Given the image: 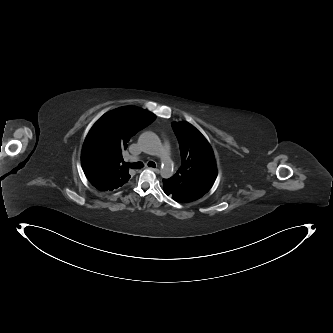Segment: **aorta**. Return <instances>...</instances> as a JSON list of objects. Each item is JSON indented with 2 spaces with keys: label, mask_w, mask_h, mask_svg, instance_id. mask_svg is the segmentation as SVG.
I'll list each match as a JSON object with an SVG mask.
<instances>
[{
  "label": "aorta",
  "mask_w": 333,
  "mask_h": 333,
  "mask_svg": "<svg viewBox=\"0 0 333 333\" xmlns=\"http://www.w3.org/2000/svg\"><path fill=\"white\" fill-rule=\"evenodd\" d=\"M138 142L148 154L154 155L158 159L161 165V176L170 178L173 173V161L162 146L159 137L155 133L147 131L139 136Z\"/></svg>",
  "instance_id": "762f6f07"
}]
</instances>
